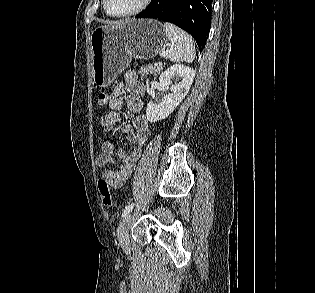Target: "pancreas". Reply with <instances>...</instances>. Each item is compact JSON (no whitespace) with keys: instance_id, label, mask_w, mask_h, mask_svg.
I'll list each match as a JSON object with an SVG mask.
<instances>
[{"instance_id":"cf45deb5","label":"pancreas","mask_w":315,"mask_h":293,"mask_svg":"<svg viewBox=\"0 0 315 293\" xmlns=\"http://www.w3.org/2000/svg\"><path fill=\"white\" fill-rule=\"evenodd\" d=\"M162 70V67L159 66H153V65H148L146 67H141L139 70V73L142 76H150V75H156L157 73H159Z\"/></svg>"}]
</instances>
